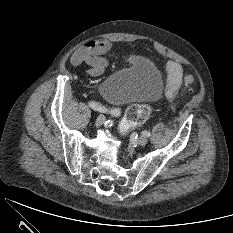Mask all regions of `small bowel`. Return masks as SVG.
Returning a JSON list of instances; mask_svg holds the SVG:
<instances>
[{
  "instance_id": "small-bowel-1",
  "label": "small bowel",
  "mask_w": 233,
  "mask_h": 233,
  "mask_svg": "<svg viewBox=\"0 0 233 233\" xmlns=\"http://www.w3.org/2000/svg\"><path fill=\"white\" fill-rule=\"evenodd\" d=\"M111 48L108 40L99 39L90 41L78 48L71 56L70 62L74 66L87 64L89 67L87 73L90 76L97 77L103 74L107 67V60L104 54ZM167 84L165 95L168 99H173L177 95L178 89L183 80V70L181 65L173 60L167 62Z\"/></svg>"
}]
</instances>
